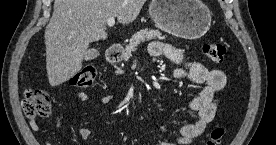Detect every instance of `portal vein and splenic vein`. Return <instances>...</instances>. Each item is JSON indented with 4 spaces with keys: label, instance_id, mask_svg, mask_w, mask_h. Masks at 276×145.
Returning <instances> with one entry per match:
<instances>
[{
    "label": "portal vein and splenic vein",
    "instance_id": "obj_1",
    "mask_svg": "<svg viewBox=\"0 0 276 145\" xmlns=\"http://www.w3.org/2000/svg\"><path fill=\"white\" fill-rule=\"evenodd\" d=\"M114 24H115V18H109V19L107 20V25H108L109 27L114 26Z\"/></svg>",
    "mask_w": 276,
    "mask_h": 145
}]
</instances>
